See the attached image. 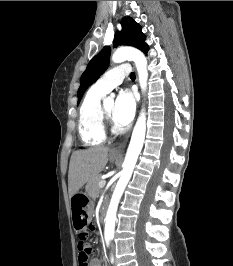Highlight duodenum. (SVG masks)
I'll return each instance as SVG.
<instances>
[{
    "label": "duodenum",
    "mask_w": 233,
    "mask_h": 266,
    "mask_svg": "<svg viewBox=\"0 0 233 266\" xmlns=\"http://www.w3.org/2000/svg\"><path fill=\"white\" fill-rule=\"evenodd\" d=\"M106 216V206H103L100 210V221L102 222Z\"/></svg>",
    "instance_id": "410a0bca"
}]
</instances>
